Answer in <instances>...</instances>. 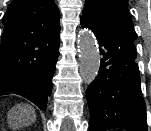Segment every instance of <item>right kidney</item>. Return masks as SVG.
I'll return each instance as SVG.
<instances>
[{"mask_svg":"<svg viewBox=\"0 0 151 131\" xmlns=\"http://www.w3.org/2000/svg\"><path fill=\"white\" fill-rule=\"evenodd\" d=\"M27 114H28V111H27ZM27 118H28V117H27ZM14 120H15V117H14ZM26 121H27V119L24 120V123H25V124H26ZM13 128L15 129V128H17V127L14 125Z\"/></svg>","mask_w":151,"mask_h":131,"instance_id":"obj_1","label":"right kidney"}]
</instances>
